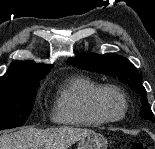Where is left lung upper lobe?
<instances>
[{
    "label": "left lung upper lobe",
    "instance_id": "1",
    "mask_svg": "<svg viewBox=\"0 0 155 149\" xmlns=\"http://www.w3.org/2000/svg\"><path fill=\"white\" fill-rule=\"evenodd\" d=\"M66 63L87 71L104 73L109 76L117 77L140 95L142 106L139 115L141 118L153 122L155 121L139 73L127 58L115 54L98 55L85 53L76 58H69Z\"/></svg>",
    "mask_w": 155,
    "mask_h": 149
}]
</instances>
